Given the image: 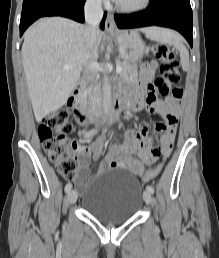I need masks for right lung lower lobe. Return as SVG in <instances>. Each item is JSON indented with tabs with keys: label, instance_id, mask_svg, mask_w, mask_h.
Returning a JSON list of instances; mask_svg holds the SVG:
<instances>
[{
	"label": "right lung lower lobe",
	"instance_id": "obj_1",
	"mask_svg": "<svg viewBox=\"0 0 219 258\" xmlns=\"http://www.w3.org/2000/svg\"><path fill=\"white\" fill-rule=\"evenodd\" d=\"M86 0H24L20 21V36L35 20L44 16H63L84 22V3ZM104 18L100 27L104 29Z\"/></svg>",
	"mask_w": 219,
	"mask_h": 258
}]
</instances>
